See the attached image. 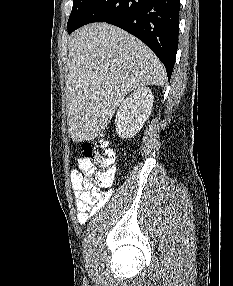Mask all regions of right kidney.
<instances>
[{"instance_id":"obj_1","label":"right kidney","mask_w":233,"mask_h":286,"mask_svg":"<svg viewBox=\"0 0 233 286\" xmlns=\"http://www.w3.org/2000/svg\"><path fill=\"white\" fill-rule=\"evenodd\" d=\"M154 102L151 89L139 87L120 104L116 113V132L121 138L134 136L149 117Z\"/></svg>"}]
</instances>
